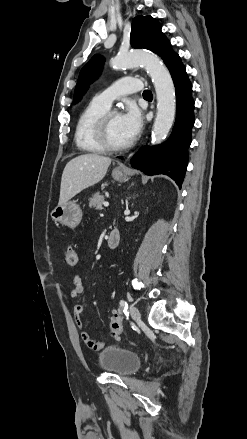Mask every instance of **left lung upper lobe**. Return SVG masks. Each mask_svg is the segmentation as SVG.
Returning a JSON list of instances; mask_svg holds the SVG:
<instances>
[{"mask_svg":"<svg viewBox=\"0 0 247 439\" xmlns=\"http://www.w3.org/2000/svg\"><path fill=\"white\" fill-rule=\"evenodd\" d=\"M131 46L133 48L148 49L159 55L167 68L180 60V57L173 51L170 41L161 31V24L151 16H137L132 23ZM104 58L95 55L88 64L81 70L74 94V103H77L81 96L87 91L92 83L101 73Z\"/></svg>","mask_w":247,"mask_h":439,"instance_id":"left-lung-upper-lobe-1","label":"left lung upper lobe"}]
</instances>
